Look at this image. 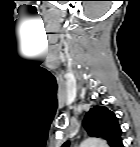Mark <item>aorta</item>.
<instances>
[{
    "instance_id": "aorta-1",
    "label": "aorta",
    "mask_w": 140,
    "mask_h": 147,
    "mask_svg": "<svg viewBox=\"0 0 140 147\" xmlns=\"http://www.w3.org/2000/svg\"><path fill=\"white\" fill-rule=\"evenodd\" d=\"M105 141L99 138H88L81 143V147H106Z\"/></svg>"
}]
</instances>
